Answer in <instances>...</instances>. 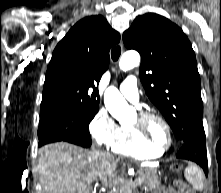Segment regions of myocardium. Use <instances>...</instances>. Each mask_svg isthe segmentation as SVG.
Segmentation results:
<instances>
[{
  "instance_id": "f54148a6",
  "label": "myocardium",
  "mask_w": 221,
  "mask_h": 193,
  "mask_svg": "<svg viewBox=\"0 0 221 193\" xmlns=\"http://www.w3.org/2000/svg\"><path fill=\"white\" fill-rule=\"evenodd\" d=\"M151 119L158 120L164 126L168 135V139H169L168 145L166 147L160 145L151 137L148 131V122ZM131 127L143 142L157 149L160 152L168 151L173 146L174 136H173L172 128L169 122L166 120V118L159 112L152 111V110L140 111L137 115L136 120L131 125Z\"/></svg>"
}]
</instances>
